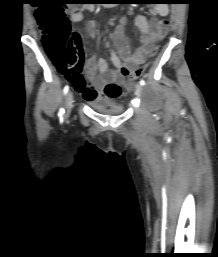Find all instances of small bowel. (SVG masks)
I'll return each mask as SVG.
<instances>
[{
    "label": "small bowel",
    "instance_id": "small-bowel-1",
    "mask_svg": "<svg viewBox=\"0 0 218 257\" xmlns=\"http://www.w3.org/2000/svg\"><path fill=\"white\" fill-rule=\"evenodd\" d=\"M84 11H94V7L84 5L80 8H72L68 10V13L74 23H79L83 20ZM168 12V7L163 4L156 5L152 9L154 16L165 17ZM132 20L140 32V45L134 52L130 51L125 37L127 17H123L114 32L113 43L107 42L114 69H109L104 59H96L92 56L86 62L83 75H80L78 79L68 78L76 93L86 101L103 96L102 83L115 82L121 85L124 77L145 61L146 57L153 52L155 44L163 39L168 30L166 19H157L156 17L148 19L140 14H132ZM86 30L89 37L96 38L98 31L95 21H90ZM116 51L119 55L116 54Z\"/></svg>",
    "mask_w": 218,
    "mask_h": 257
}]
</instances>
